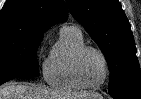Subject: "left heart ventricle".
<instances>
[{
  "label": "left heart ventricle",
  "instance_id": "left-heart-ventricle-1",
  "mask_svg": "<svg viewBox=\"0 0 141 99\" xmlns=\"http://www.w3.org/2000/svg\"><path fill=\"white\" fill-rule=\"evenodd\" d=\"M81 72L83 79L88 84H99L105 75V68L102 58L96 52H87L81 62Z\"/></svg>",
  "mask_w": 141,
  "mask_h": 99
}]
</instances>
